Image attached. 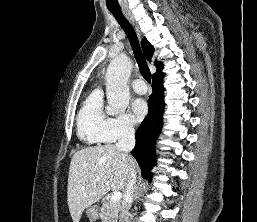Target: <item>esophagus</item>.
<instances>
[{"label":"esophagus","mask_w":257,"mask_h":222,"mask_svg":"<svg viewBox=\"0 0 257 222\" xmlns=\"http://www.w3.org/2000/svg\"><path fill=\"white\" fill-rule=\"evenodd\" d=\"M125 16L134 24L133 19L131 18V16L129 15V13L124 12Z\"/></svg>","instance_id":"esophagus-1"}]
</instances>
